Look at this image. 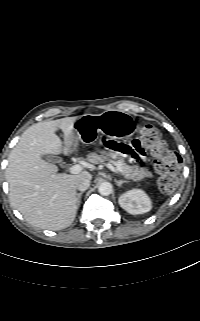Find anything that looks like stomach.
I'll list each match as a JSON object with an SVG mask.
<instances>
[{
    "label": "stomach",
    "mask_w": 200,
    "mask_h": 321,
    "mask_svg": "<svg viewBox=\"0 0 200 321\" xmlns=\"http://www.w3.org/2000/svg\"><path fill=\"white\" fill-rule=\"evenodd\" d=\"M74 142L92 143L98 133L110 139L131 137L137 130L131 115L119 110H108L98 115L80 116L73 125Z\"/></svg>",
    "instance_id": "obj_1"
}]
</instances>
